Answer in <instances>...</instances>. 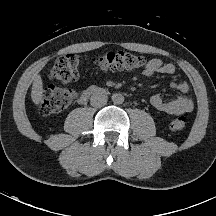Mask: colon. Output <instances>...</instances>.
<instances>
[{"label": "colon", "mask_w": 216, "mask_h": 216, "mask_svg": "<svg viewBox=\"0 0 216 216\" xmlns=\"http://www.w3.org/2000/svg\"><path fill=\"white\" fill-rule=\"evenodd\" d=\"M97 70H138L146 65L144 57L124 51H114L91 60ZM81 59L76 54H65L58 57L51 68L50 78L62 83L76 81L80 77ZM72 89L46 88L42 93L40 112L44 116L66 110L75 100ZM187 118L177 116L170 123L173 131H181L186 127Z\"/></svg>", "instance_id": "colon-1"}]
</instances>
